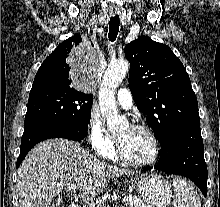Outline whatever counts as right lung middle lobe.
<instances>
[{"label":"right lung middle lobe","mask_w":220,"mask_h":207,"mask_svg":"<svg viewBox=\"0 0 220 207\" xmlns=\"http://www.w3.org/2000/svg\"><path fill=\"white\" fill-rule=\"evenodd\" d=\"M92 104V94L73 87H32L24 123L45 121L88 128Z\"/></svg>","instance_id":"right-lung-middle-lobe-1"}]
</instances>
